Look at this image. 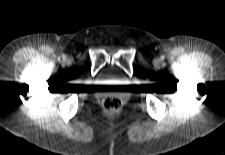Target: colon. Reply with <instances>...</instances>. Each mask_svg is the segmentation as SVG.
<instances>
[{"label":"colon","instance_id":"obj_1","mask_svg":"<svg viewBox=\"0 0 225 155\" xmlns=\"http://www.w3.org/2000/svg\"><path fill=\"white\" fill-rule=\"evenodd\" d=\"M121 100L118 97L110 96L103 100V107L108 111H116L121 107Z\"/></svg>","mask_w":225,"mask_h":155}]
</instances>
